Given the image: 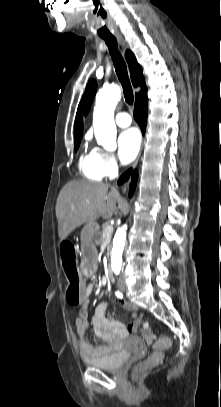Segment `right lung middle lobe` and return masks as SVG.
<instances>
[{"instance_id":"dd1d6c3e","label":"right lung middle lobe","mask_w":221,"mask_h":407,"mask_svg":"<svg viewBox=\"0 0 221 407\" xmlns=\"http://www.w3.org/2000/svg\"><path fill=\"white\" fill-rule=\"evenodd\" d=\"M79 143H80V142H75V143H74L75 151H77V149L79 148Z\"/></svg>"}]
</instances>
